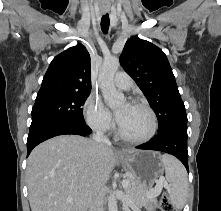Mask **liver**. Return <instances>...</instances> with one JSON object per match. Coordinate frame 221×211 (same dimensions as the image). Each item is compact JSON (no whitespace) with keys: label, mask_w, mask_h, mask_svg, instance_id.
I'll list each match as a JSON object with an SVG mask.
<instances>
[{"label":"liver","mask_w":221,"mask_h":211,"mask_svg":"<svg viewBox=\"0 0 221 211\" xmlns=\"http://www.w3.org/2000/svg\"><path fill=\"white\" fill-rule=\"evenodd\" d=\"M114 166L113 148L92 139L61 135L39 144L26 168L31 211H88L98 184L105 188Z\"/></svg>","instance_id":"1"}]
</instances>
